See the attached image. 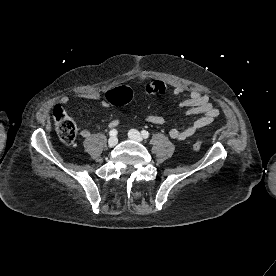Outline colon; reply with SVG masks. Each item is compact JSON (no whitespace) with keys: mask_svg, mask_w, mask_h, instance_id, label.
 Masks as SVG:
<instances>
[{"mask_svg":"<svg viewBox=\"0 0 276 276\" xmlns=\"http://www.w3.org/2000/svg\"><path fill=\"white\" fill-rule=\"evenodd\" d=\"M154 88L162 89L164 83L161 81H155ZM133 99V91L131 89L122 88L112 90L107 95V100L112 106H121L130 102ZM52 117L54 121L55 130L59 138L68 145L74 143L77 136V126L72 118L67 114L64 107L60 104L54 106L52 110ZM201 142L196 141L192 144V149L198 151L201 149Z\"/></svg>","mask_w":276,"mask_h":276,"instance_id":"obj_1","label":"colon"}]
</instances>
